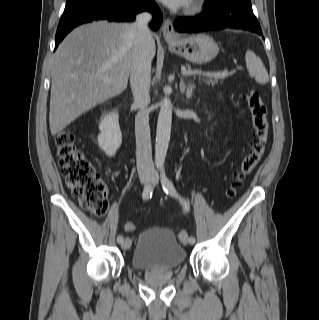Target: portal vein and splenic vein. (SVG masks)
<instances>
[{
  "mask_svg": "<svg viewBox=\"0 0 319 320\" xmlns=\"http://www.w3.org/2000/svg\"><path fill=\"white\" fill-rule=\"evenodd\" d=\"M182 74L184 76L204 75V76L213 77V78H217V79H224L229 75L227 70L222 71V72L212 73V72H201L198 70H187L186 68H182Z\"/></svg>",
  "mask_w": 319,
  "mask_h": 320,
  "instance_id": "18ae733b",
  "label": "portal vein and splenic vein"
}]
</instances>
